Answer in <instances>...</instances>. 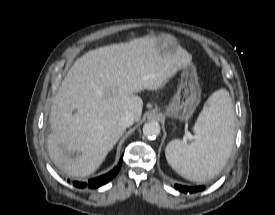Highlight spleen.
Wrapping results in <instances>:
<instances>
[{"instance_id":"obj_1","label":"spleen","mask_w":275,"mask_h":215,"mask_svg":"<svg viewBox=\"0 0 275 215\" xmlns=\"http://www.w3.org/2000/svg\"><path fill=\"white\" fill-rule=\"evenodd\" d=\"M194 141L170 142L165 150L169 165L182 177L205 182L225 167L234 143L235 115L227 90L215 91L194 125Z\"/></svg>"}]
</instances>
